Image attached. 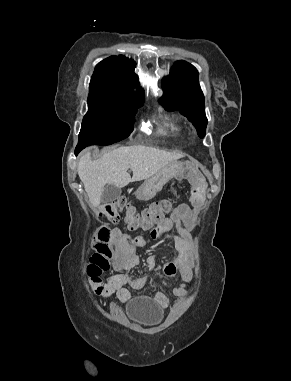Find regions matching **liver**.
Returning <instances> with one entry per match:
<instances>
[{"instance_id": "obj_1", "label": "liver", "mask_w": 291, "mask_h": 381, "mask_svg": "<svg viewBox=\"0 0 291 381\" xmlns=\"http://www.w3.org/2000/svg\"><path fill=\"white\" fill-rule=\"evenodd\" d=\"M181 157L183 155L178 152L143 145L120 147L97 160H92L90 152H85L78 164V175L91 204L98 207L107 184L122 188L130 182L148 179ZM129 168L132 178L127 172Z\"/></svg>"}]
</instances>
